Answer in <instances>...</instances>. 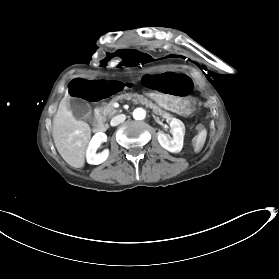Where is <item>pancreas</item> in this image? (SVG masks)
<instances>
[{
  "instance_id": "1",
  "label": "pancreas",
  "mask_w": 279,
  "mask_h": 279,
  "mask_svg": "<svg viewBox=\"0 0 279 279\" xmlns=\"http://www.w3.org/2000/svg\"><path fill=\"white\" fill-rule=\"evenodd\" d=\"M131 98H133V101L138 105H144L146 107H149L157 115H160L162 113V110L154 102H151L147 99H143V96L141 94L136 95L127 93L114 97L109 103H103L101 109L103 116L112 117L114 114L118 112V110L114 107V103L122 99L130 100ZM161 117L169 119V116H166L164 114H161Z\"/></svg>"
}]
</instances>
